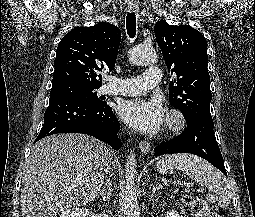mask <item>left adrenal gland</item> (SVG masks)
<instances>
[{"mask_svg":"<svg viewBox=\"0 0 255 217\" xmlns=\"http://www.w3.org/2000/svg\"><path fill=\"white\" fill-rule=\"evenodd\" d=\"M159 189H162L161 185H155L154 183L152 184V194L151 196H153L155 194V192Z\"/></svg>","mask_w":255,"mask_h":217,"instance_id":"a2214340","label":"left adrenal gland"}]
</instances>
